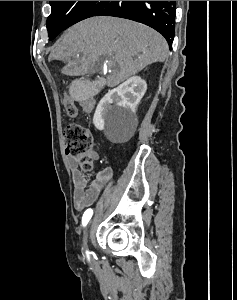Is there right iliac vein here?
I'll list each match as a JSON object with an SVG mask.
<instances>
[{
    "mask_svg": "<svg viewBox=\"0 0 237 300\" xmlns=\"http://www.w3.org/2000/svg\"><path fill=\"white\" fill-rule=\"evenodd\" d=\"M89 231H90V226L87 227L86 233L84 235V245L86 248H88V243H89Z\"/></svg>",
    "mask_w": 237,
    "mask_h": 300,
    "instance_id": "right-iliac-vein-1",
    "label": "right iliac vein"
}]
</instances>
